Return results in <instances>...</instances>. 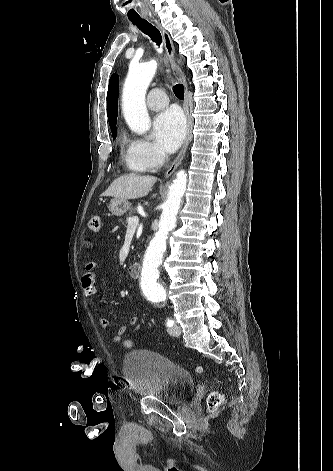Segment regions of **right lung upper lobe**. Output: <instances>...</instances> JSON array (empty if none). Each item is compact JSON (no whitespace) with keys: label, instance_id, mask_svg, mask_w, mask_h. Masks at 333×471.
<instances>
[{"label":"right lung upper lobe","instance_id":"1","mask_svg":"<svg viewBox=\"0 0 333 471\" xmlns=\"http://www.w3.org/2000/svg\"><path fill=\"white\" fill-rule=\"evenodd\" d=\"M118 114V76L113 74L109 80L107 93V115L111 131L116 129V121Z\"/></svg>","mask_w":333,"mask_h":471}]
</instances>
